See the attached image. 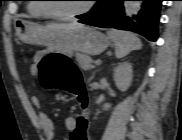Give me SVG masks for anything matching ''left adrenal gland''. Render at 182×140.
<instances>
[{
	"label": "left adrenal gland",
	"instance_id": "left-adrenal-gland-1",
	"mask_svg": "<svg viewBox=\"0 0 182 140\" xmlns=\"http://www.w3.org/2000/svg\"><path fill=\"white\" fill-rule=\"evenodd\" d=\"M94 75H95V71L93 72V77H94ZM93 77H92V78H93Z\"/></svg>",
	"mask_w": 182,
	"mask_h": 140
}]
</instances>
